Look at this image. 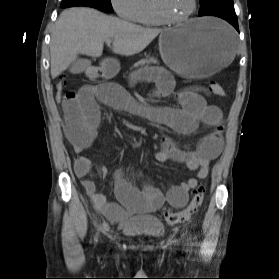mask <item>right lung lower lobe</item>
Returning <instances> with one entry per match:
<instances>
[{
    "label": "right lung lower lobe",
    "mask_w": 279,
    "mask_h": 279,
    "mask_svg": "<svg viewBox=\"0 0 279 279\" xmlns=\"http://www.w3.org/2000/svg\"><path fill=\"white\" fill-rule=\"evenodd\" d=\"M73 6H88L93 7L99 10H104L101 6H99L94 0H63L61 7H73Z\"/></svg>",
    "instance_id": "98d812e1"
}]
</instances>
